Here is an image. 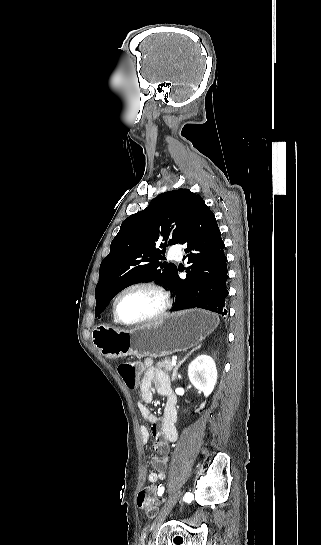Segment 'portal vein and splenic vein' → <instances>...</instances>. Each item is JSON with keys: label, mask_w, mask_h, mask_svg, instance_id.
I'll return each mask as SVG.
<instances>
[{"label": "portal vein and splenic vein", "mask_w": 321, "mask_h": 545, "mask_svg": "<svg viewBox=\"0 0 321 545\" xmlns=\"http://www.w3.org/2000/svg\"><path fill=\"white\" fill-rule=\"evenodd\" d=\"M172 356H173V359H178V356H176V355H171V358H172Z\"/></svg>", "instance_id": "obj_1"}]
</instances>
